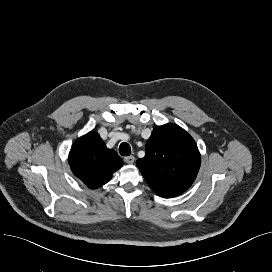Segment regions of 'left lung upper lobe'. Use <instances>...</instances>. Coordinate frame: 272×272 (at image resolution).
I'll return each mask as SVG.
<instances>
[{"label": "left lung upper lobe", "mask_w": 272, "mask_h": 272, "mask_svg": "<svg viewBox=\"0 0 272 272\" xmlns=\"http://www.w3.org/2000/svg\"><path fill=\"white\" fill-rule=\"evenodd\" d=\"M200 162L194 139L178 125L165 124L153 129L136 165L158 196L172 198L192 185Z\"/></svg>", "instance_id": "obj_1"}]
</instances>
